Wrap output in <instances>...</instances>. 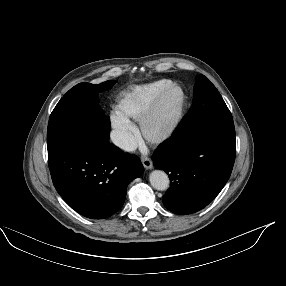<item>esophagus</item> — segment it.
Wrapping results in <instances>:
<instances>
[{
  "label": "esophagus",
  "instance_id": "34e87169",
  "mask_svg": "<svg viewBox=\"0 0 286 286\" xmlns=\"http://www.w3.org/2000/svg\"><path fill=\"white\" fill-rule=\"evenodd\" d=\"M141 162L147 170H150L153 168V162L151 161L149 157L142 156Z\"/></svg>",
  "mask_w": 286,
  "mask_h": 286
}]
</instances>
